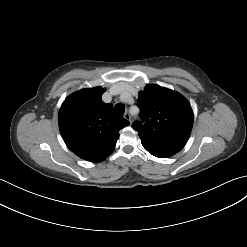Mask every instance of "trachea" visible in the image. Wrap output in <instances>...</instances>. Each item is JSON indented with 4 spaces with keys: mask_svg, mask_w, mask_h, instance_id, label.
<instances>
[{
    "mask_svg": "<svg viewBox=\"0 0 247 247\" xmlns=\"http://www.w3.org/2000/svg\"><path fill=\"white\" fill-rule=\"evenodd\" d=\"M114 111L118 116H122L125 112V106L122 104H116L114 107Z\"/></svg>",
    "mask_w": 247,
    "mask_h": 247,
    "instance_id": "1",
    "label": "trachea"
}]
</instances>
